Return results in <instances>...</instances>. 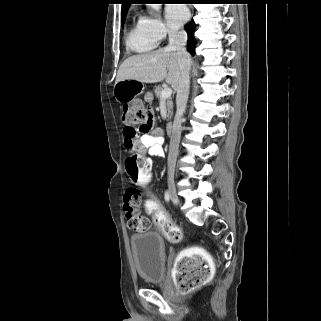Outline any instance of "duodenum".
<instances>
[{"mask_svg": "<svg viewBox=\"0 0 321 321\" xmlns=\"http://www.w3.org/2000/svg\"><path fill=\"white\" fill-rule=\"evenodd\" d=\"M165 130H166V133H167L168 135H171L172 132H173V124H172L171 122H168V123L166 124Z\"/></svg>", "mask_w": 321, "mask_h": 321, "instance_id": "410a0bca", "label": "duodenum"}]
</instances>
